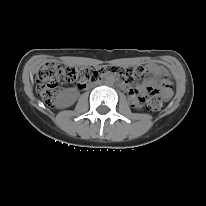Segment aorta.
Instances as JSON below:
<instances>
[{"label": "aorta", "instance_id": "1", "mask_svg": "<svg viewBox=\"0 0 206 206\" xmlns=\"http://www.w3.org/2000/svg\"><path fill=\"white\" fill-rule=\"evenodd\" d=\"M108 81V84H111L113 81H111V80H107Z\"/></svg>", "mask_w": 206, "mask_h": 206}]
</instances>
